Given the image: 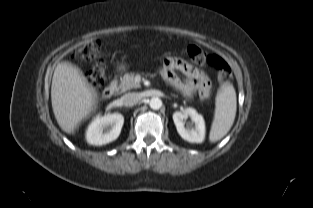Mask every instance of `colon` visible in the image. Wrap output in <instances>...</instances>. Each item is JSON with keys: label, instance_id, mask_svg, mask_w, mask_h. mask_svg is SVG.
Segmentation results:
<instances>
[{"label": "colon", "instance_id": "1", "mask_svg": "<svg viewBox=\"0 0 313 208\" xmlns=\"http://www.w3.org/2000/svg\"><path fill=\"white\" fill-rule=\"evenodd\" d=\"M99 53L100 43L98 41L86 43L78 50V55L82 59L88 60L97 58ZM187 54L189 58L197 64H203L207 62L210 66H212L217 72V78L219 82L225 83L231 78L232 72L230 66L219 56H208L195 45H190L187 48ZM89 77L95 85H102L105 81L104 68L101 65L93 67L89 73Z\"/></svg>", "mask_w": 313, "mask_h": 208}]
</instances>
